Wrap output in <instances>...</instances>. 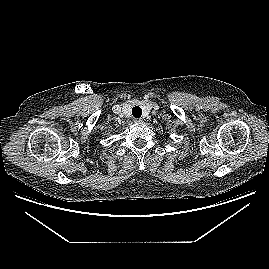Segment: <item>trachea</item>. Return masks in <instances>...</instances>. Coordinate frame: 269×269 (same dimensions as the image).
I'll return each mask as SVG.
<instances>
[{
	"label": "trachea",
	"instance_id": "3493384b",
	"mask_svg": "<svg viewBox=\"0 0 269 269\" xmlns=\"http://www.w3.org/2000/svg\"><path fill=\"white\" fill-rule=\"evenodd\" d=\"M132 115H133L135 118H139V117H141V115H142V109H141L139 106H135V107L132 109Z\"/></svg>",
	"mask_w": 269,
	"mask_h": 269
}]
</instances>
